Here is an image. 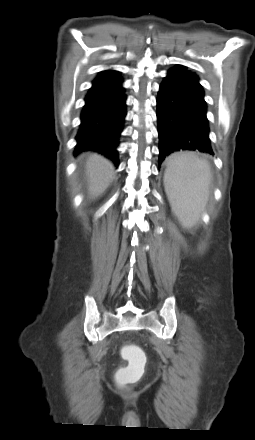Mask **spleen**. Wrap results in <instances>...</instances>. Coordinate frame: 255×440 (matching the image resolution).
Masks as SVG:
<instances>
[{"label": "spleen", "mask_w": 255, "mask_h": 440, "mask_svg": "<svg viewBox=\"0 0 255 440\" xmlns=\"http://www.w3.org/2000/svg\"><path fill=\"white\" fill-rule=\"evenodd\" d=\"M210 180L209 163L193 153H175L167 159L165 190L173 212L184 227H191L199 221Z\"/></svg>", "instance_id": "spleen-1"}]
</instances>
